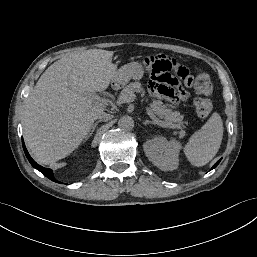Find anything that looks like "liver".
Returning a JSON list of instances; mask_svg holds the SVG:
<instances>
[{
	"label": "liver",
	"instance_id": "liver-1",
	"mask_svg": "<svg viewBox=\"0 0 257 257\" xmlns=\"http://www.w3.org/2000/svg\"><path fill=\"white\" fill-rule=\"evenodd\" d=\"M112 51L72 52L49 66L30 92L24 107V139L35 160L51 164L72 153L83 141L99 112L88 94L114 81Z\"/></svg>",
	"mask_w": 257,
	"mask_h": 257
}]
</instances>
